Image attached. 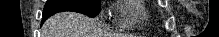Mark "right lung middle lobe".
<instances>
[{
    "instance_id": "dd1d6c3e",
    "label": "right lung middle lobe",
    "mask_w": 219,
    "mask_h": 37,
    "mask_svg": "<svg viewBox=\"0 0 219 37\" xmlns=\"http://www.w3.org/2000/svg\"><path fill=\"white\" fill-rule=\"evenodd\" d=\"M100 3L98 0H48L45 4L43 15L62 11H73L95 17L99 14Z\"/></svg>"
}]
</instances>
